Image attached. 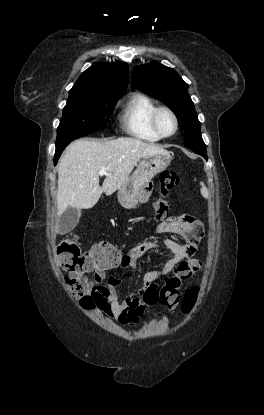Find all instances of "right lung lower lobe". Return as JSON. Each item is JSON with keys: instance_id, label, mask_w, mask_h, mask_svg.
<instances>
[{"instance_id": "98d812e1", "label": "right lung lower lobe", "mask_w": 264, "mask_h": 415, "mask_svg": "<svg viewBox=\"0 0 264 415\" xmlns=\"http://www.w3.org/2000/svg\"><path fill=\"white\" fill-rule=\"evenodd\" d=\"M65 148H62V149H58V150H56V152H55V156H54V164L56 165V163H57V161H58V159H59V157H60V155H61V153H62V151L64 150Z\"/></svg>"}]
</instances>
